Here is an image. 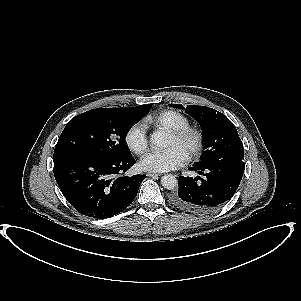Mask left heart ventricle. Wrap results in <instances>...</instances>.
Returning <instances> with one entry per match:
<instances>
[{"instance_id": "b2bd125f", "label": "left heart ventricle", "mask_w": 301, "mask_h": 301, "mask_svg": "<svg viewBox=\"0 0 301 301\" xmlns=\"http://www.w3.org/2000/svg\"><path fill=\"white\" fill-rule=\"evenodd\" d=\"M165 144L166 145H169V146H172L175 150H177L179 153H183V150H184V144H179V143H176L170 139H166L165 140Z\"/></svg>"}]
</instances>
